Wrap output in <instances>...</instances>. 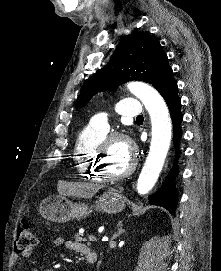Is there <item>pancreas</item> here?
Listing matches in <instances>:
<instances>
[{"mask_svg":"<svg viewBox=\"0 0 221 271\" xmlns=\"http://www.w3.org/2000/svg\"><path fill=\"white\" fill-rule=\"evenodd\" d=\"M74 242H86V237H74Z\"/></svg>","mask_w":221,"mask_h":271,"instance_id":"cf45deb5","label":"pancreas"}]
</instances>
